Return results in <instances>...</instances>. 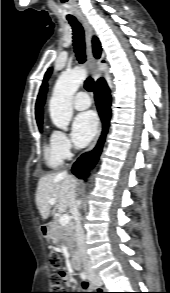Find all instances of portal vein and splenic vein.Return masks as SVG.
Returning a JSON list of instances; mask_svg holds the SVG:
<instances>
[{
    "mask_svg": "<svg viewBox=\"0 0 170 293\" xmlns=\"http://www.w3.org/2000/svg\"><path fill=\"white\" fill-rule=\"evenodd\" d=\"M56 203V199L55 198H51L49 200V204L50 205H54ZM59 222L62 226H66L70 223V216L68 214H63L60 218H59Z\"/></svg>",
    "mask_w": 170,
    "mask_h": 293,
    "instance_id": "portal-vein-and-splenic-vein-1",
    "label": "portal vein and splenic vein"
}]
</instances>
